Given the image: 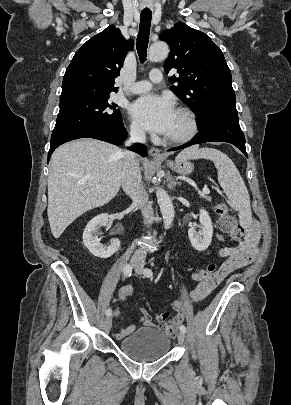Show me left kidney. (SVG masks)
<instances>
[{
  "label": "left kidney",
  "mask_w": 291,
  "mask_h": 405,
  "mask_svg": "<svg viewBox=\"0 0 291 405\" xmlns=\"http://www.w3.org/2000/svg\"><path fill=\"white\" fill-rule=\"evenodd\" d=\"M199 217V231L197 232L195 227H191L188 230V236L191 245L197 251H205L212 242L213 225L211 222V218L206 210L200 209Z\"/></svg>",
  "instance_id": "5707ae66"
}]
</instances>
